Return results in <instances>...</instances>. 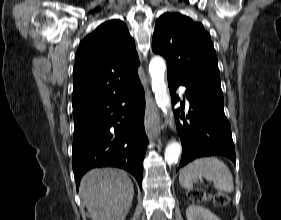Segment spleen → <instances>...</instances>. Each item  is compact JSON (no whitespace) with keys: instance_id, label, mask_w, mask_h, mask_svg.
Segmentation results:
<instances>
[{"instance_id":"3e777b00","label":"spleen","mask_w":281,"mask_h":220,"mask_svg":"<svg viewBox=\"0 0 281 220\" xmlns=\"http://www.w3.org/2000/svg\"><path fill=\"white\" fill-rule=\"evenodd\" d=\"M205 178L213 181L218 190L231 193L234 190V182L229 168L221 160L215 157L199 158L182 168L179 175V183L183 188L191 190L195 178Z\"/></svg>"}]
</instances>
